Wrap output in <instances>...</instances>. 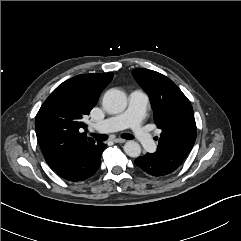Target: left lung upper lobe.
<instances>
[{"mask_svg": "<svg viewBox=\"0 0 241 241\" xmlns=\"http://www.w3.org/2000/svg\"><path fill=\"white\" fill-rule=\"evenodd\" d=\"M133 75L148 93L154 121L162 129L157 151L150 154L162 163L179 167L196 140L197 129L192 106L168 77L148 69H135Z\"/></svg>", "mask_w": 241, "mask_h": 241, "instance_id": "obj_1", "label": "left lung upper lobe"}]
</instances>
